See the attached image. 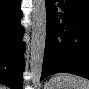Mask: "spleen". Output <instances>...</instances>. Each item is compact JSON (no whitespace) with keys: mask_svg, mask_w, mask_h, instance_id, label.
I'll list each match as a JSON object with an SVG mask.
<instances>
[{"mask_svg":"<svg viewBox=\"0 0 89 89\" xmlns=\"http://www.w3.org/2000/svg\"><path fill=\"white\" fill-rule=\"evenodd\" d=\"M48 87L49 89H89V81L76 75L59 73L49 80Z\"/></svg>","mask_w":89,"mask_h":89,"instance_id":"obj_1","label":"spleen"}]
</instances>
